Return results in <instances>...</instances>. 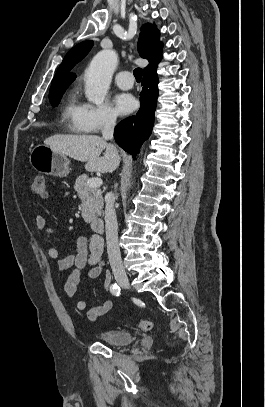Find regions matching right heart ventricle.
<instances>
[{"instance_id": "obj_1", "label": "right heart ventricle", "mask_w": 265, "mask_h": 407, "mask_svg": "<svg viewBox=\"0 0 265 407\" xmlns=\"http://www.w3.org/2000/svg\"><path fill=\"white\" fill-rule=\"evenodd\" d=\"M61 118L69 131L77 134L89 132L82 121V106L77 102L74 93H71L67 98L61 111Z\"/></svg>"}]
</instances>
